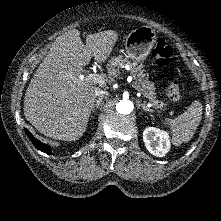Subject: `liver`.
<instances>
[{"mask_svg":"<svg viewBox=\"0 0 221 221\" xmlns=\"http://www.w3.org/2000/svg\"><path fill=\"white\" fill-rule=\"evenodd\" d=\"M118 36L113 30L89 34L86 45L77 29L57 37L26 90L27 121L47 137L79 139L86 130L96 98L94 84L79 78L83 66L92 57L98 63L105 62Z\"/></svg>","mask_w":221,"mask_h":221,"instance_id":"liver-1","label":"liver"}]
</instances>
